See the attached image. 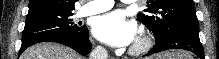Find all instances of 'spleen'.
<instances>
[{"label": "spleen", "mask_w": 219, "mask_h": 59, "mask_svg": "<svg viewBox=\"0 0 219 59\" xmlns=\"http://www.w3.org/2000/svg\"><path fill=\"white\" fill-rule=\"evenodd\" d=\"M173 57H170V59H191L189 54L186 52H180L177 55H173Z\"/></svg>", "instance_id": "1"}]
</instances>
